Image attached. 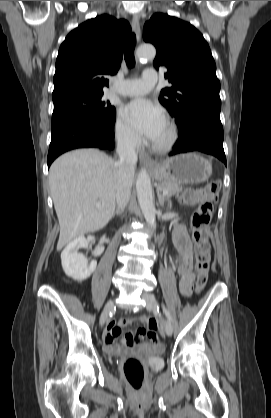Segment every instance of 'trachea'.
Returning <instances> with one entry per match:
<instances>
[{
    "label": "trachea",
    "instance_id": "1",
    "mask_svg": "<svg viewBox=\"0 0 271 418\" xmlns=\"http://www.w3.org/2000/svg\"><path fill=\"white\" fill-rule=\"evenodd\" d=\"M136 44V36L132 33L125 44L124 48V58L126 64L129 68H133L135 66V58H134V49Z\"/></svg>",
    "mask_w": 271,
    "mask_h": 418
}]
</instances>
